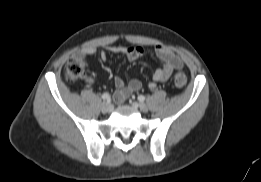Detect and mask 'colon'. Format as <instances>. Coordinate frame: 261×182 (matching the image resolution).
<instances>
[{"mask_svg":"<svg viewBox=\"0 0 261 182\" xmlns=\"http://www.w3.org/2000/svg\"><path fill=\"white\" fill-rule=\"evenodd\" d=\"M84 72V62L77 58L70 59L65 66V76L69 82H76L83 78ZM187 82V78L183 73H177L174 77V84L177 87H183Z\"/></svg>","mask_w":261,"mask_h":182,"instance_id":"5ec220e1","label":"colon"}]
</instances>
